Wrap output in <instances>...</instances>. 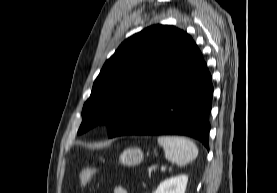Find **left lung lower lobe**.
Here are the masks:
<instances>
[{
  "label": "left lung lower lobe",
  "mask_w": 277,
  "mask_h": 193,
  "mask_svg": "<svg viewBox=\"0 0 277 193\" xmlns=\"http://www.w3.org/2000/svg\"><path fill=\"white\" fill-rule=\"evenodd\" d=\"M211 75L199 49L163 84L143 100L110 136L186 135L209 149Z\"/></svg>",
  "instance_id": "0a47b994"
}]
</instances>
